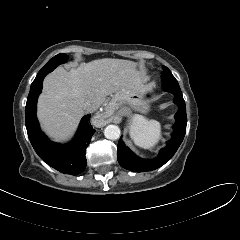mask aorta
<instances>
[{
	"instance_id": "762f6f07",
	"label": "aorta",
	"mask_w": 240,
	"mask_h": 240,
	"mask_svg": "<svg viewBox=\"0 0 240 240\" xmlns=\"http://www.w3.org/2000/svg\"><path fill=\"white\" fill-rule=\"evenodd\" d=\"M104 135L107 139L117 140L120 137V128L116 125H108L104 129Z\"/></svg>"
}]
</instances>
